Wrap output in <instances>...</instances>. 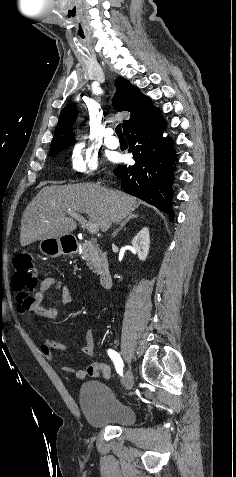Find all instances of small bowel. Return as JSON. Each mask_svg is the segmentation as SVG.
I'll return each instance as SVG.
<instances>
[{
	"label": "small bowel",
	"instance_id": "c3829d8e",
	"mask_svg": "<svg viewBox=\"0 0 236 477\" xmlns=\"http://www.w3.org/2000/svg\"><path fill=\"white\" fill-rule=\"evenodd\" d=\"M52 287L55 288L57 294L54 304L47 308L43 307L42 303L45 298V293ZM72 302L73 297L67 286L63 285L59 280L53 277H46L40 282L38 290L31 295V302L27 305H18V309L25 314L34 313L44 319H54L57 317L61 305H70ZM84 341L85 342L80 349L81 352L84 355L93 356L95 353V341L93 330L91 328H86L84 330ZM40 350L49 361L55 362L56 357L53 350L66 352L67 348L51 338L43 337L40 344ZM62 369L75 379H84L86 377L96 378L100 376L104 379H110L111 377L110 368L106 364L100 362L91 363L86 369H74L66 366Z\"/></svg>",
	"mask_w": 236,
	"mask_h": 477
}]
</instances>
